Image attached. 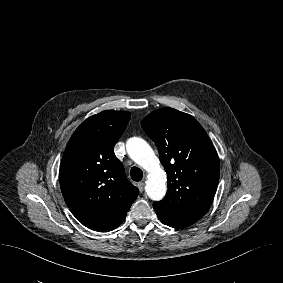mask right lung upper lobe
Segmentation results:
<instances>
[{
    "label": "right lung upper lobe",
    "mask_w": 283,
    "mask_h": 283,
    "mask_svg": "<svg viewBox=\"0 0 283 283\" xmlns=\"http://www.w3.org/2000/svg\"><path fill=\"white\" fill-rule=\"evenodd\" d=\"M131 114L102 111L75 130L60 166L63 198L79 222L108 232L119 226L138 195L114 154Z\"/></svg>",
    "instance_id": "right-lung-upper-lobe-1"
}]
</instances>
